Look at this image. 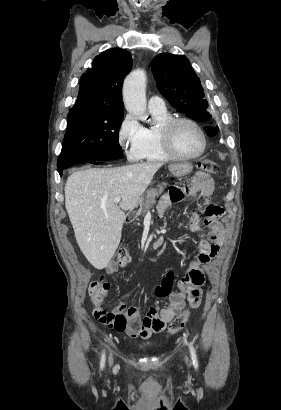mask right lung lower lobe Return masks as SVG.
Returning <instances> with one entry per match:
<instances>
[{
  "label": "right lung lower lobe",
  "instance_id": "right-lung-lower-lobe-1",
  "mask_svg": "<svg viewBox=\"0 0 281 410\" xmlns=\"http://www.w3.org/2000/svg\"><path fill=\"white\" fill-rule=\"evenodd\" d=\"M82 162H89V163H92V164H101V163H105V162H107V161H77V162H73V163H71V164L65 166L63 169L58 170V171H59L60 175H62L64 169L69 168V167H71V166H73V165H75V164L82 163Z\"/></svg>",
  "mask_w": 281,
  "mask_h": 410
}]
</instances>
